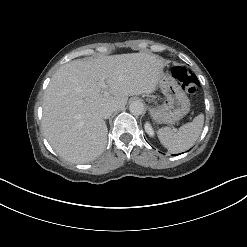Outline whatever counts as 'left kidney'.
<instances>
[{"mask_svg": "<svg viewBox=\"0 0 247 247\" xmlns=\"http://www.w3.org/2000/svg\"><path fill=\"white\" fill-rule=\"evenodd\" d=\"M145 131L146 133L150 136V137H154V129L152 128L151 124L149 122H146L144 125Z\"/></svg>", "mask_w": 247, "mask_h": 247, "instance_id": "1", "label": "left kidney"}]
</instances>
